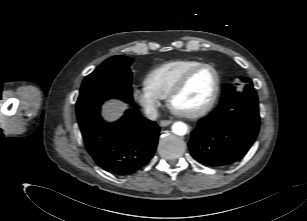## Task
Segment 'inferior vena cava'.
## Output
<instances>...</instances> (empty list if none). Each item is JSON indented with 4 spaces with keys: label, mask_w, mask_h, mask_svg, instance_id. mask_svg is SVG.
<instances>
[{
    "label": "inferior vena cava",
    "mask_w": 307,
    "mask_h": 221,
    "mask_svg": "<svg viewBox=\"0 0 307 221\" xmlns=\"http://www.w3.org/2000/svg\"><path fill=\"white\" fill-rule=\"evenodd\" d=\"M145 115L147 116L148 119L150 120H156L158 117V111L154 107H150L145 110Z\"/></svg>",
    "instance_id": "1"
}]
</instances>
